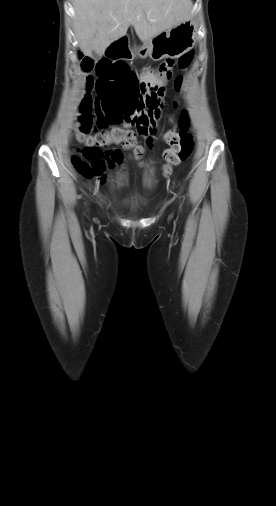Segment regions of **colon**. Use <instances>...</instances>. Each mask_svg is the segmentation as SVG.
Wrapping results in <instances>:
<instances>
[{
	"label": "colon",
	"instance_id": "1",
	"mask_svg": "<svg viewBox=\"0 0 276 506\" xmlns=\"http://www.w3.org/2000/svg\"><path fill=\"white\" fill-rule=\"evenodd\" d=\"M75 55L79 58L83 72L93 69V57L88 55L86 50H79ZM193 57V51L182 54L177 61L178 67L182 70L188 69ZM133 58H106L100 54L95 66L97 79L94 80L92 76L86 78V88L95 85L98 97L86 95L81 101L80 114L76 120V137L83 147L78 154L72 156L73 166L86 178L100 175L107 160L118 153L105 149L113 142L130 151L132 159L137 162L144 154V148L137 143L133 131L120 128L106 130L110 124L124 121L126 124L136 125L142 134L150 133L153 119L161 110L164 88L149 81H142L139 85L137 80L142 77L141 70L123 66L127 60ZM173 63V60H167L159 66L158 71L169 77ZM180 83L181 77H177L175 86L178 88ZM189 128V118L183 114L179 121V130L171 129L164 135L169 146L163 154V174L166 177L171 175L174 166L186 161L192 154L193 141ZM93 132L95 133L92 134Z\"/></svg>",
	"mask_w": 276,
	"mask_h": 506
}]
</instances>
